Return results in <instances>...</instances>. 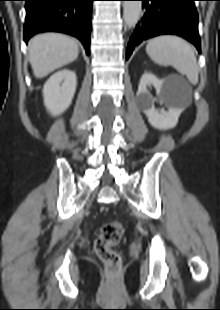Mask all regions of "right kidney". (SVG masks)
Instances as JSON below:
<instances>
[{"label":"right kidney","instance_id":"ca27d5eb","mask_svg":"<svg viewBox=\"0 0 220 310\" xmlns=\"http://www.w3.org/2000/svg\"><path fill=\"white\" fill-rule=\"evenodd\" d=\"M76 86L77 78L74 71L63 69L54 73L43 87L46 109L53 116L62 114L70 106Z\"/></svg>","mask_w":220,"mask_h":310}]
</instances>
